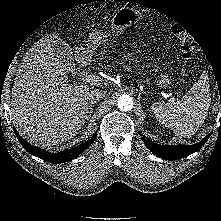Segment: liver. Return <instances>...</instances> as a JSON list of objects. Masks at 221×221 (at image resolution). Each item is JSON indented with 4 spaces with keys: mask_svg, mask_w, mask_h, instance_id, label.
Returning <instances> with one entry per match:
<instances>
[{
    "mask_svg": "<svg viewBox=\"0 0 221 221\" xmlns=\"http://www.w3.org/2000/svg\"><path fill=\"white\" fill-rule=\"evenodd\" d=\"M35 44L17 70L12 88L14 122L33 142L61 144L76 136L88 111V85L69 83L52 40Z\"/></svg>",
    "mask_w": 221,
    "mask_h": 221,
    "instance_id": "liver-1",
    "label": "liver"
}]
</instances>
